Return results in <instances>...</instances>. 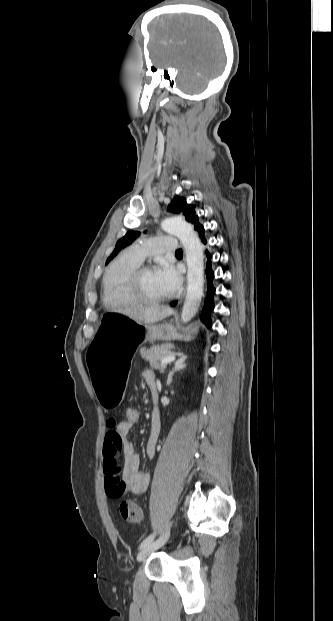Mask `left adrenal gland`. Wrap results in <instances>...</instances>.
I'll use <instances>...</instances> for the list:
<instances>
[{
  "mask_svg": "<svg viewBox=\"0 0 333 621\" xmlns=\"http://www.w3.org/2000/svg\"><path fill=\"white\" fill-rule=\"evenodd\" d=\"M187 359V356L184 355L182 352H179V358L174 362V365L171 369V371L168 374V378H167V386H169L172 382V377L176 372H180L181 370L186 368V364H185V360Z\"/></svg>",
  "mask_w": 333,
  "mask_h": 621,
  "instance_id": "obj_1",
  "label": "left adrenal gland"
}]
</instances>
